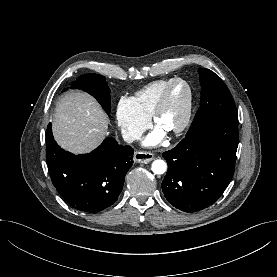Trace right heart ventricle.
Listing matches in <instances>:
<instances>
[{
    "mask_svg": "<svg viewBox=\"0 0 277 277\" xmlns=\"http://www.w3.org/2000/svg\"><path fill=\"white\" fill-rule=\"evenodd\" d=\"M171 80L172 79L156 80L137 91L132 97L136 109L142 115L149 118L162 90Z\"/></svg>",
    "mask_w": 277,
    "mask_h": 277,
    "instance_id": "1",
    "label": "right heart ventricle"
}]
</instances>
